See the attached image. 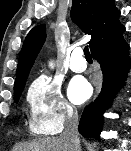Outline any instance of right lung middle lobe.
Segmentation results:
<instances>
[{
  "label": "right lung middle lobe",
  "instance_id": "right-lung-middle-lobe-1",
  "mask_svg": "<svg viewBox=\"0 0 131 151\" xmlns=\"http://www.w3.org/2000/svg\"><path fill=\"white\" fill-rule=\"evenodd\" d=\"M23 89H24V86L21 87V88H18V89H16V90H14V101H15V103L18 102V100H19V98H20V96H21V93H22Z\"/></svg>",
  "mask_w": 131,
  "mask_h": 151
}]
</instances>
